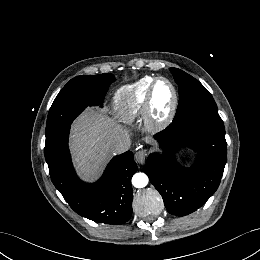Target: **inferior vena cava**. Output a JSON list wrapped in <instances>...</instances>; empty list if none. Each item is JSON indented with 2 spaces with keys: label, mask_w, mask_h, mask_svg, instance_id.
Instances as JSON below:
<instances>
[{
  "label": "inferior vena cava",
  "mask_w": 260,
  "mask_h": 260,
  "mask_svg": "<svg viewBox=\"0 0 260 260\" xmlns=\"http://www.w3.org/2000/svg\"><path fill=\"white\" fill-rule=\"evenodd\" d=\"M130 146L131 140L126 134L118 135L112 143V149L115 153H124L129 150Z\"/></svg>",
  "instance_id": "inferior-vena-cava-1"
}]
</instances>
